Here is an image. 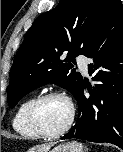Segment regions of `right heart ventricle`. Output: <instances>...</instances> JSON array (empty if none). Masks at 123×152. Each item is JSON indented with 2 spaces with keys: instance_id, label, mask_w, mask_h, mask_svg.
<instances>
[{
  "instance_id": "obj_1",
  "label": "right heart ventricle",
  "mask_w": 123,
  "mask_h": 152,
  "mask_svg": "<svg viewBox=\"0 0 123 152\" xmlns=\"http://www.w3.org/2000/svg\"><path fill=\"white\" fill-rule=\"evenodd\" d=\"M35 99L36 97H29L24 100L16 109L12 119V126L15 132L26 139H37L40 137L31 129L27 120L29 108Z\"/></svg>"
}]
</instances>
